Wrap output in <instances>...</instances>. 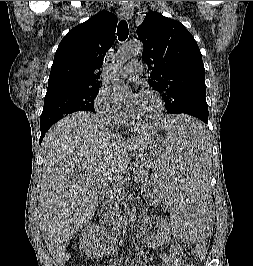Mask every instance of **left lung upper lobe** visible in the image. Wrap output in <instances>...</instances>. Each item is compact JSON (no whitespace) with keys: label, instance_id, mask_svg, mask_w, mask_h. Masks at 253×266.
<instances>
[{"label":"left lung upper lobe","instance_id":"left-lung-upper-lobe-1","mask_svg":"<svg viewBox=\"0 0 253 266\" xmlns=\"http://www.w3.org/2000/svg\"><path fill=\"white\" fill-rule=\"evenodd\" d=\"M149 84L162 96L168 114H188L207 123L205 69L194 37L185 26L149 12L137 29Z\"/></svg>","mask_w":253,"mask_h":266}]
</instances>
